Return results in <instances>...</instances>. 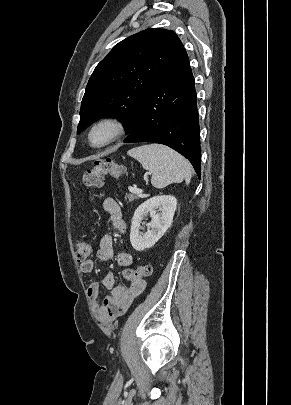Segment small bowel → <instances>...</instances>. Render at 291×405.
Returning <instances> with one entry per match:
<instances>
[{
    "label": "small bowel",
    "instance_id": "c3829d8e",
    "mask_svg": "<svg viewBox=\"0 0 291 405\" xmlns=\"http://www.w3.org/2000/svg\"><path fill=\"white\" fill-rule=\"evenodd\" d=\"M103 209L109 215L113 226L118 231L124 233L126 224L122 219L119 204L113 198H106L103 201ZM113 237L105 234L99 241L98 257L106 261L114 256ZM117 263L121 267L130 266L133 262L132 255L128 252H120L116 257ZM80 269L83 273H90L94 269L93 260L82 262ZM103 285L112 291L102 303L99 302V283L92 282L88 289L87 295L91 301L92 311L95 318L105 324H112L118 317L122 316L132 304L133 300L139 296L145 289V281L138 280L129 286L117 285L114 273H108L103 279Z\"/></svg>",
    "mask_w": 291,
    "mask_h": 405
}]
</instances>
